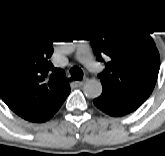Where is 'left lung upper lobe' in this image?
I'll use <instances>...</instances> for the list:
<instances>
[{"label": "left lung upper lobe", "mask_w": 165, "mask_h": 156, "mask_svg": "<svg viewBox=\"0 0 165 156\" xmlns=\"http://www.w3.org/2000/svg\"><path fill=\"white\" fill-rule=\"evenodd\" d=\"M89 36L98 60L108 61L98 75L103 88L140 107L153 91L160 68L153 39L144 30L117 20L91 24Z\"/></svg>", "instance_id": "1"}]
</instances>
